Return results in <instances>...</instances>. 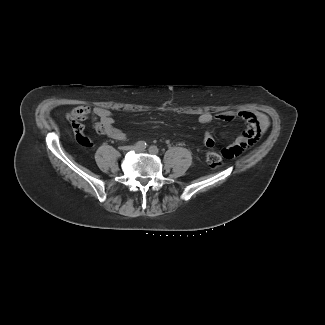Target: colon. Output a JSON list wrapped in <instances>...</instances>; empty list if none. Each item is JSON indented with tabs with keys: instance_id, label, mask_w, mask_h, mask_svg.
I'll use <instances>...</instances> for the list:
<instances>
[{
	"instance_id": "colon-1",
	"label": "colon",
	"mask_w": 325,
	"mask_h": 325,
	"mask_svg": "<svg viewBox=\"0 0 325 325\" xmlns=\"http://www.w3.org/2000/svg\"><path fill=\"white\" fill-rule=\"evenodd\" d=\"M206 161L211 168H218L222 163L221 156L214 151H208L206 153Z\"/></svg>"
}]
</instances>
